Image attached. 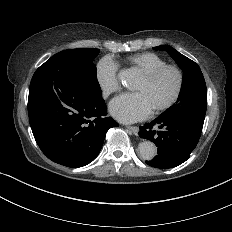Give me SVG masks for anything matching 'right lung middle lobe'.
I'll use <instances>...</instances> for the list:
<instances>
[{
	"mask_svg": "<svg viewBox=\"0 0 232 232\" xmlns=\"http://www.w3.org/2000/svg\"><path fill=\"white\" fill-rule=\"evenodd\" d=\"M99 54V49L92 48H77L61 51L50 59L62 60L77 64L87 74V77L92 80L96 91L100 92L101 88L97 81L96 66L93 63L94 58Z\"/></svg>",
	"mask_w": 232,
	"mask_h": 232,
	"instance_id": "1",
	"label": "right lung middle lobe"
}]
</instances>
